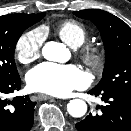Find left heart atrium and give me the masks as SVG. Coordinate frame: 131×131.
I'll return each mask as SVG.
<instances>
[{
    "instance_id": "39dd6f15",
    "label": "left heart atrium",
    "mask_w": 131,
    "mask_h": 131,
    "mask_svg": "<svg viewBox=\"0 0 131 131\" xmlns=\"http://www.w3.org/2000/svg\"><path fill=\"white\" fill-rule=\"evenodd\" d=\"M27 84L35 92L65 96L75 89L85 87L87 78L74 65H59L46 62L28 72Z\"/></svg>"
}]
</instances>
